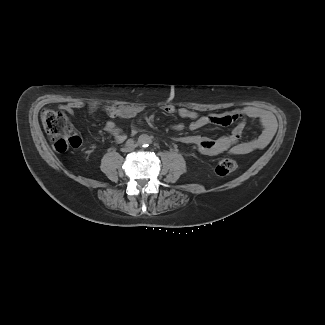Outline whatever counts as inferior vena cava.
Here are the masks:
<instances>
[{"label": "inferior vena cava", "mask_w": 325, "mask_h": 325, "mask_svg": "<svg viewBox=\"0 0 325 325\" xmlns=\"http://www.w3.org/2000/svg\"><path fill=\"white\" fill-rule=\"evenodd\" d=\"M134 149V147H130L129 149H128V151H131V150H133Z\"/></svg>", "instance_id": "obj_1"}]
</instances>
